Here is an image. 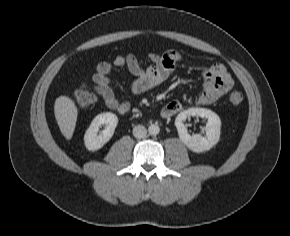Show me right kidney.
Masks as SVG:
<instances>
[{
  "label": "right kidney",
  "mask_w": 290,
  "mask_h": 236,
  "mask_svg": "<svg viewBox=\"0 0 290 236\" xmlns=\"http://www.w3.org/2000/svg\"><path fill=\"white\" fill-rule=\"evenodd\" d=\"M106 125L100 133L101 125ZM118 124V118L111 112L98 114L91 122L84 135V143L89 151H97L102 148L113 136Z\"/></svg>",
  "instance_id": "right-kidney-1"
}]
</instances>
